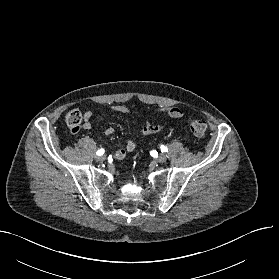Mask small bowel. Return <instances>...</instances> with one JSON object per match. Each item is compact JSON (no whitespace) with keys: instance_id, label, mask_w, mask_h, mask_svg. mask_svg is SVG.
<instances>
[{"instance_id":"small-bowel-1","label":"small bowel","mask_w":279,"mask_h":279,"mask_svg":"<svg viewBox=\"0 0 279 279\" xmlns=\"http://www.w3.org/2000/svg\"><path fill=\"white\" fill-rule=\"evenodd\" d=\"M113 110L119 114L129 113V109L124 105H117L113 108ZM159 113L166 114V115L170 116L171 118H175V119L182 118L184 115L182 109L177 106H163L159 109ZM92 116H93V112L91 110H88L84 113V116H83V128L84 129H86V130L91 129ZM166 127H167L166 124L157 125V124H153L151 122H147V124L144 125L139 130L138 133H139V136L141 137V139H144L145 137H147L151 134H155V133H159V132L163 131ZM103 133L106 136H110L114 133V129L112 127H106V128H104ZM138 144H139V142H137L136 140L130 139L127 142V144L125 145V147L119 148L113 153V157L117 160H122L128 153L133 152L137 148Z\"/></svg>"}]
</instances>
